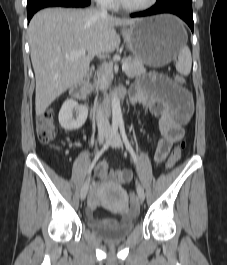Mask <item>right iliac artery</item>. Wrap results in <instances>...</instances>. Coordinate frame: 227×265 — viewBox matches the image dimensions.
<instances>
[{
    "label": "right iliac artery",
    "mask_w": 227,
    "mask_h": 265,
    "mask_svg": "<svg viewBox=\"0 0 227 265\" xmlns=\"http://www.w3.org/2000/svg\"><path fill=\"white\" fill-rule=\"evenodd\" d=\"M118 131V123L117 122H113L112 124V129H111V133L109 138L106 140L105 144L103 145L102 149L96 154V156L94 157L89 170H88V177L90 176V173L94 167V165L96 164V162L98 161V159L100 158V156L109 148L111 141L113 139V137L115 136V134Z\"/></svg>",
    "instance_id": "right-iliac-artery-1"
}]
</instances>
